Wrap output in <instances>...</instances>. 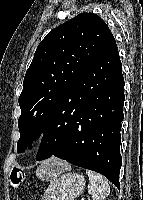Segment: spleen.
<instances>
[{
  "label": "spleen",
  "mask_w": 143,
  "mask_h": 200,
  "mask_svg": "<svg viewBox=\"0 0 143 200\" xmlns=\"http://www.w3.org/2000/svg\"><path fill=\"white\" fill-rule=\"evenodd\" d=\"M89 177L88 193L93 200H104L110 194V186L108 180L101 174L87 170Z\"/></svg>",
  "instance_id": "1"
}]
</instances>
